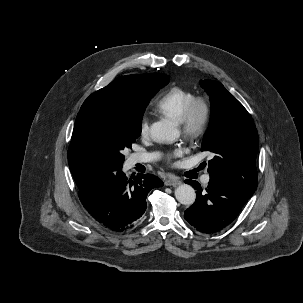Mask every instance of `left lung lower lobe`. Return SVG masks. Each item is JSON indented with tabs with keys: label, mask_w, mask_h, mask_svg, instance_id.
Here are the masks:
<instances>
[{
	"label": "left lung lower lobe",
	"mask_w": 303,
	"mask_h": 303,
	"mask_svg": "<svg viewBox=\"0 0 303 303\" xmlns=\"http://www.w3.org/2000/svg\"><path fill=\"white\" fill-rule=\"evenodd\" d=\"M185 182L197 190V199L185 211L184 218L202 233L210 234L225 228L252 196L214 174L210 175L206 192L196 181L188 179Z\"/></svg>",
	"instance_id": "0a47b994"
}]
</instances>
